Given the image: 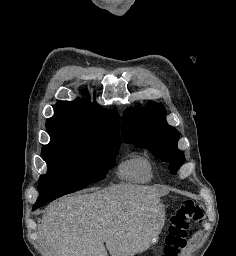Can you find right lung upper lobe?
I'll use <instances>...</instances> for the list:
<instances>
[{
    "mask_svg": "<svg viewBox=\"0 0 236 256\" xmlns=\"http://www.w3.org/2000/svg\"><path fill=\"white\" fill-rule=\"evenodd\" d=\"M48 132L68 131L83 136L120 142L118 114L89 100L60 101L46 122Z\"/></svg>",
    "mask_w": 236,
    "mask_h": 256,
    "instance_id": "cb5924a9",
    "label": "right lung upper lobe"
}]
</instances>
